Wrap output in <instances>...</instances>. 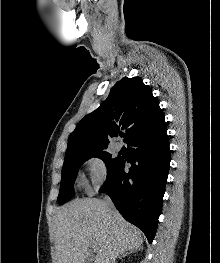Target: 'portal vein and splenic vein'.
<instances>
[{
    "instance_id": "1",
    "label": "portal vein and splenic vein",
    "mask_w": 220,
    "mask_h": 263,
    "mask_svg": "<svg viewBox=\"0 0 220 263\" xmlns=\"http://www.w3.org/2000/svg\"><path fill=\"white\" fill-rule=\"evenodd\" d=\"M93 248H94V250H96V249H97V246L95 245Z\"/></svg>"
}]
</instances>
